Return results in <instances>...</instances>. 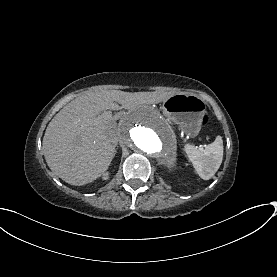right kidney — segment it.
I'll use <instances>...</instances> for the list:
<instances>
[{
  "label": "right kidney",
  "mask_w": 277,
  "mask_h": 277,
  "mask_svg": "<svg viewBox=\"0 0 277 277\" xmlns=\"http://www.w3.org/2000/svg\"><path fill=\"white\" fill-rule=\"evenodd\" d=\"M102 179L103 180H108L109 179V173L108 172H103Z\"/></svg>",
  "instance_id": "ca27d5eb"
}]
</instances>
